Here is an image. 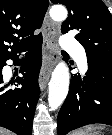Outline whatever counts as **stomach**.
Here are the masks:
<instances>
[{"label":"stomach","mask_w":112,"mask_h":135,"mask_svg":"<svg viewBox=\"0 0 112 135\" xmlns=\"http://www.w3.org/2000/svg\"><path fill=\"white\" fill-rule=\"evenodd\" d=\"M85 132H86L87 135H98L97 132H92V129L91 128H87L85 130Z\"/></svg>","instance_id":"0dacf381"}]
</instances>
